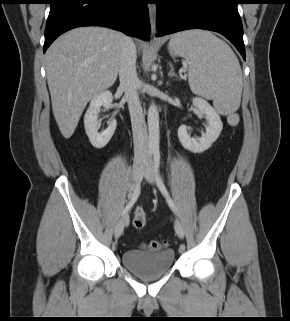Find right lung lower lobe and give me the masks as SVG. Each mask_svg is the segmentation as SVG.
<instances>
[{"mask_svg": "<svg viewBox=\"0 0 290 321\" xmlns=\"http://www.w3.org/2000/svg\"><path fill=\"white\" fill-rule=\"evenodd\" d=\"M147 0H51L44 53L62 33L80 26H103L150 39Z\"/></svg>", "mask_w": 290, "mask_h": 321, "instance_id": "98d812e1", "label": "right lung lower lobe"}]
</instances>
